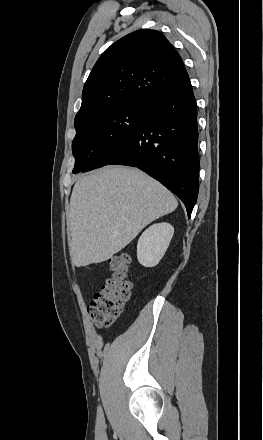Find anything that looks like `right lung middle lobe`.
I'll return each mask as SVG.
<instances>
[{
	"mask_svg": "<svg viewBox=\"0 0 263 440\" xmlns=\"http://www.w3.org/2000/svg\"><path fill=\"white\" fill-rule=\"evenodd\" d=\"M146 115L147 102H132L97 113L75 126L73 173L106 165L115 149L137 129Z\"/></svg>",
	"mask_w": 263,
	"mask_h": 440,
	"instance_id": "right-lung-middle-lobe-1",
	"label": "right lung middle lobe"
}]
</instances>
